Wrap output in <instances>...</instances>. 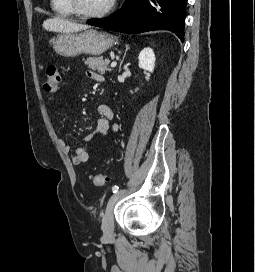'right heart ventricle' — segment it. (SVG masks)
<instances>
[{
    "instance_id": "1",
    "label": "right heart ventricle",
    "mask_w": 255,
    "mask_h": 272,
    "mask_svg": "<svg viewBox=\"0 0 255 272\" xmlns=\"http://www.w3.org/2000/svg\"><path fill=\"white\" fill-rule=\"evenodd\" d=\"M50 6L52 11L59 16H63V17L74 16V13L68 7L66 0H51Z\"/></svg>"
}]
</instances>
